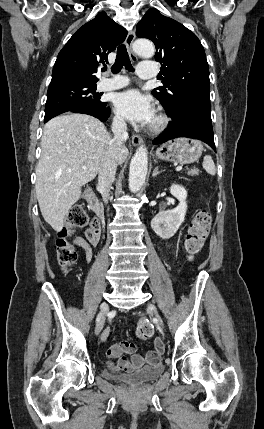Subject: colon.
<instances>
[{
  "label": "colon",
  "instance_id": "1",
  "mask_svg": "<svg viewBox=\"0 0 264 429\" xmlns=\"http://www.w3.org/2000/svg\"><path fill=\"white\" fill-rule=\"evenodd\" d=\"M87 223L88 217L85 211L81 206L76 205L67 213L65 225L58 232V239L56 241L57 260L61 268L65 271L69 270L77 260L76 249L68 241V238L76 229L86 226ZM210 224L211 214L209 211L200 210L195 214L189 225L185 239V249L190 256L197 254L202 249ZM153 332V325L148 320L140 321L136 327V334L142 340L152 337ZM154 345L159 350L164 349V344L160 339H156Z\"/></svg>",
  "mask_w": 264,
  "mask_h": 429
}]
</instances>
